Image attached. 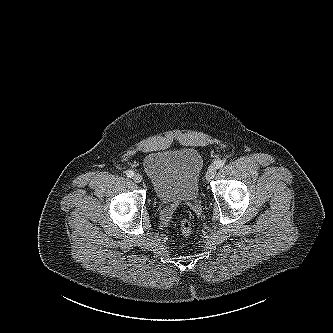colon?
Returning a JSON list of instances; mask_svg holds the SVG:
<instances>
[{"label": "colon", "mask_w": 333, "mask_h": 333, "mask_svg": "<svg viewBox=\"0 0 333 333\" xmlns=\"http://www.w3.org/2000/svg\"><path fill=\"white\" fill-rule=\"evenodd\" d=\"M179 229L183 235H189L192 232V223L188 218H182L179 221Z\"/></svg>", "instance_id": "1"}]
</instances>
